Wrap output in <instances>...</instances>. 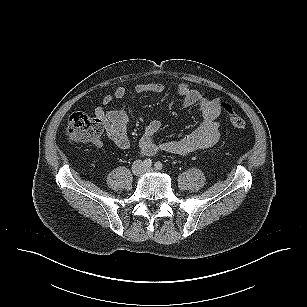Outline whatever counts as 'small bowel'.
<instances>
[{"instance_id": "obj_1", "label": "small bowel", "mask_w": 307, "mask_h": 307, "mask_svg": "<svg viewBox=\"0 0 307 307\" xmlns=\"http://www.w3.org/2000/svg\"><path fill=\"white\" fill-rule=\"evenodd\" d=\"M165 87L161 83H142L135 87L137 93H162ZM178 94L182 97V105L185 108L197 106L201 112L200 124L190 133L180 139L157 142L155 135L161 130L160 121H151L145 128L144 134L139 141V149L146 156H153L160 151L168 152L178 156H187L193 152L208 149L217 145L221 139V124L218 117L221 113L219 98H209L203 92L181 83L177 88ZM127 93L123 86L114 90L113 95H106L103 104L112 102L113 98L121 99ZM95 116L101 122L106 136L115 146L125 151L131 145L127 133L129 122L127 107L122 104L115 110H105L103 107L95 109ZM100 148L103 142L99 139L93 143Z\"/></svg>"}]
</instances>
